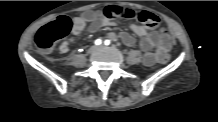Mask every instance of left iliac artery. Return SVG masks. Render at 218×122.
Returning <instances> with one entry per match:
<instances>
[{"label": "left iliac artery", "instance_id": "1", "mask_svg": "<svg viewBox=\"0 0 218 122\" xmlns=\"http://www.w3.org/2000/svg\"><path fill=\"white\" fill-rule=\"evenodd\" d=\"M104 43H105V45H107V46H108V45H110V40H105V42H104Z\"/></svg>", "mask_w": 218, "mask_h": 122}]
</instances>
